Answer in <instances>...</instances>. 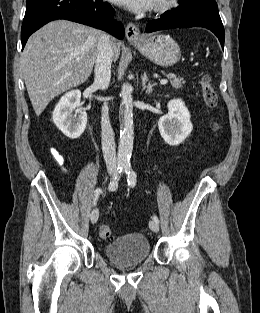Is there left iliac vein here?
<instances>
[{
    "mask_svg": "<svg viewBox=\"0 0 260 313\" xmlns=\"http://www.w3.org/2000/svg\"><path fill=\"white\" fill-rule=\"evenodd\" d=\"M149 227L153 232L159 231V224L155 222L154 220L149 221Z\"/></svg>",
    "mask_w": 260,
    "mask_h": 313,
    "instance_id": "1",
    "label": "left iliac vein"
}]
</instances>
